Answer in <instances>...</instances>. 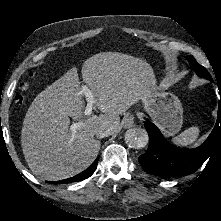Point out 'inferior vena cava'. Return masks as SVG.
Here are the masks:
<instances>
[{
  "mask_svg": "<svg viewBox=\"0 0 221 221\" xmlns=\"http://www.w3.org/2000/svg\"><path fill=\"white\" fill-rule=\"evenodd\" d=\"M113 132L112 128H99L96 133L95 136L97 138H104V137H108L109 135H111Z\"/></svg>",
  "mask_w": 221,
  "mask_h": 221,
  "instance_id": "602c4592",
  "label": "inferior vena cava"
}]
</instances>
